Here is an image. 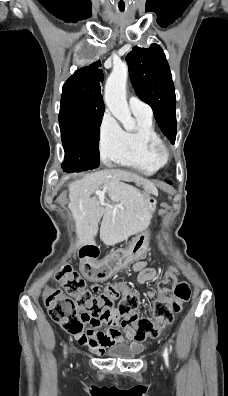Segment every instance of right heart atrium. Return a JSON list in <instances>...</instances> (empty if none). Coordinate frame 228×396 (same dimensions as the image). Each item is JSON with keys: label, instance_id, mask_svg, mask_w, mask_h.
Masks as SVG:
<instances>
[{"label": "right heart atrium", "instance_id": "right-heart-atrium-1", "mask_svg": "<svg viewBox=\"0 0 228 396\" xmlns=\"http://www.w3.org/2000/svg\"><path fill=\"white\" fill-rule=\"evenodd\" d=\"M124 131L109 111H105L99 124L98 140L102 159L112 162L123 144Z\"/></svg>", "mask_w": 228, "mask_h": 396}]
</instances>
